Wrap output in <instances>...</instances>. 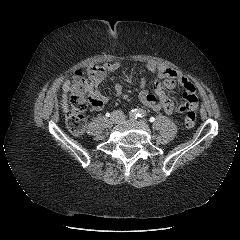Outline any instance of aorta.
Masks as SVG:
<instances>
[{"label": "aorta", "mask_w": 240, "mask_h": 240, "mask_svg": "<svg viewBox=\"0 0 240 240\" xmlns=\"http://www.w3.org/2000/svg\"><path fill=\"white\" fill-rule=\"evenodd\" d=\"M134 113L130 112V115H133Z\"/></svg>", "instance_id": "aorta-1"}]
</instances>
